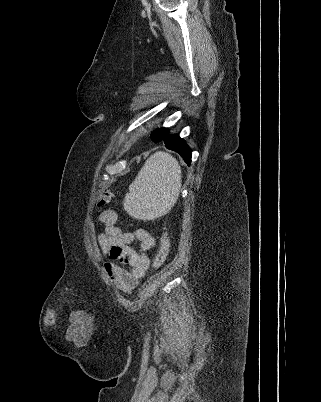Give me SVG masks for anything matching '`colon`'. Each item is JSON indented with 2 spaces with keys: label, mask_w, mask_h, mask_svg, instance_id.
I'll return each instance as SVG.
<instances>
[{
  "label": "colon",
  "mask_w": 321,
  "mask_h": 402,
  "mask_svg": "<svg viewBox=\"0 0 321 402\" xmlns=\"http://www.w3.org/2000/svg\"><path fill=\"white\" fill-rule=\"evenodd\" d=\"M110 202H111V193L106 192L102 196L99 204L106 205V204H109ZM169 253H170V240H169L168 235L166 233H163L160 236L159 246H158L157 252L153 258V262H152L153 267L159 268L162 265H164V263L168 259ZM52 322H53V314L51 312H49V313H47V315L45 317V323L51 324Z\"/></svg>",
  "instance_id": "5ec220e1"
}]
</instances>
